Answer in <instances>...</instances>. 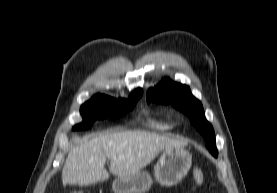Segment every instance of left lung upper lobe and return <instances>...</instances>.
<instances>
[{
    "instance_id": "5c2ea615",
    "label": "left lung upper lobe",
    "mask_w": 277,
    "mask_h": 193,
    "mask_svg": "<svg viewBox=\"0 0 277 193\" xmlns=\"http://www.w3.org/2000/svg\"><path fill=\"white\" fill-rule=\"evenodd\" d=\"M147 102L172 104L188 115L191 123L204 136L206 147L214 157L218 156L215 133L212 125L206 120L203 106L190 92L188 86L167 80L147 92Z\"/></svg>"
}]
</instances>
